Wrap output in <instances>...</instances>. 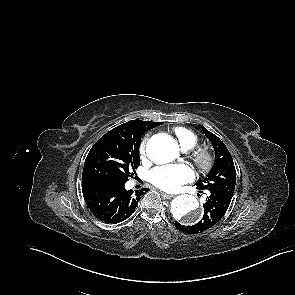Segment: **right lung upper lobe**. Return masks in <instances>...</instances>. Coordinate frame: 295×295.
Returning <instances> with one entry per match:
<instances>
[{"mask_svg": "<svg viewBox=\"0 0 295 295\" xmlns=\"http://www.w3.org/2000/svg\"><path fill=\"white\" fill-rule=\"evenodd\" d=\"M161 122H150V121H141V120H131L129 122H126L124 124H121L117 127H115L114 129H112L110 132H123L125 130H128L130 128H133L135 126L138 125H146V126H150V127H157L159 125H161Z\"/></svg>", "mask_w": 295, "mask_h": 295, "instance_id": "1", "label": "right lung upper lobe"}]
</instances>
